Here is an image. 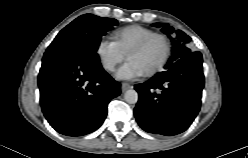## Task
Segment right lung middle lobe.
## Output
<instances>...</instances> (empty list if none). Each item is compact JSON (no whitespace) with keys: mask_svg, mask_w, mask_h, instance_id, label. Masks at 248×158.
I'll list each match as a JSON object with an SVG mask.
<instances>
[{"mask_svg":"<svg viewBox=\"0 0 248 158\" xmlns=\"http://www.w3.org/2000/svg\"><path fill=\"white\" fill-rule=\"evenodd\" d=\"M118 24L113 18L84 14L62 29L48 48L97 52L101 37Z\"/></svg>","mask_w":248,"mask_h":158,"instance_id":"right-lung-middle-lobe-1","label":"right lung middle lobe"}]
</instances>
